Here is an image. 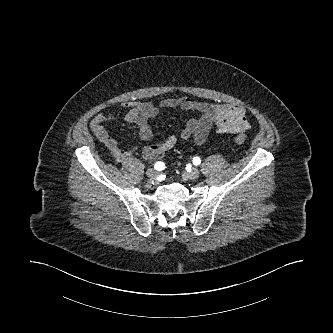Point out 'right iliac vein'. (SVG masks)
Returning a JSON list of instances; mask_svg holds the SVG:
<instances>
[{"label":"right iliac vein","mask_w":333,"mask_h":333,"mask_svg":"<svg viewBox=\"0 0 333 333\" xmlns=\"http://www.w3.org/2000/svg\"><path fill=\"white\" fill-rule=\"evenodd\" d=\"M146 175L150 178V179H154L157 176V172L155 171V169L153 168H149L146 171Z\"/></svg>","instance_id":"63e3f726"}]
</instances>
